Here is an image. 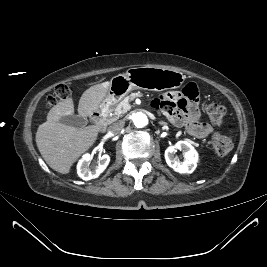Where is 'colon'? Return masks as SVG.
I'll use <instances>...</instances> for the list:
<instances>
[{"mask_svg":"<svg viewBox=\"0 0 267 267\" xmlns=\"http://www.w3.org/2000/svg\"><path fill=\"white\" fill-rule=\"evenodd\" d=\"M69 94V86L60 84L48 96L47 103L50 106L55 105L59 101L66 99ZM205 112L213 124L220 125L223 122L226 110L224 106L215 102H210L205 105ZM211 147L217 154L226 155L233 147L232 138L230 136L215 133L211 139Z\"/></svg>","mask_w":267,"mask_h":267,"instance_id":"colon-1","label":"colon"}]
</instances>
